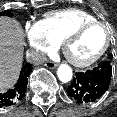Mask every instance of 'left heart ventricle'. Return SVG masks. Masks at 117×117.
I'll use <instances>...</instances> for the list:
<instances>
[{
	"label": "left heart ventricle",
	"mask_w": 117,
	"mask_h": 117,
	"mask_svg": "<svg viewBox=\"0 0 117 117\" xmlns=\"http://www.w3.org/2000/svg\"><path fill=\"white\" fill-rule=\"evenodd\" d=\"M106 38L107 32L103 27H91L71 43L68 52L74 59L86 60L102 49Z\"/></svg>",
	"instance_id": "1"
}]
</instances>
